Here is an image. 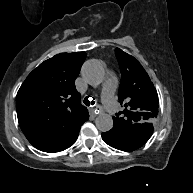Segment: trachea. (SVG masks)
<instances>
[{"label": "trachea", "mask_w": 193, "mask_h": 193, "mask_svg": "<svg viewBox=\"0 0 193 193\" xmlns=\"http://www.w3.org/2000/svg\"><path fill=\"white\" fill-rule=\"evenodd\" d=\"M89 97H90V96H86V97L84 98V101H83V102H84L85 105H87V106L94 105V104H95V101H93V100H91V99H90V100H91V101H90V100H89Z\"/></svg>", "instance_id": "obj_1"}]
</instances>
